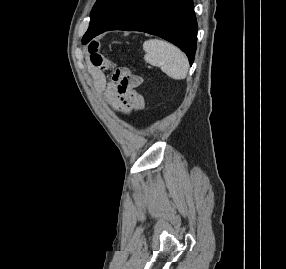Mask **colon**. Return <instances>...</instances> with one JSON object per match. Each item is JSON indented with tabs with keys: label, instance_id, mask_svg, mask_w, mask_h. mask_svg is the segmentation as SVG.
<instances>
[{
	"label": "colon",
	"instance_id": "5ec220e1",
	"mask_svg": "<svg viewBox=\"0 0 286 269\" xmlns=\"http://www.w3.org/2000/svg\"><path fill=\"white\" fill-rule=\"evenodd\" d=\"M114 70V80L118 82L116 88L121 100H125L126 110H141L144 98L139 91L143 88L144 78L132 74L127 65H114Z\"/></svg>",
	"mask_w": 286,
	"mask_h": 269
}]
</instances>
